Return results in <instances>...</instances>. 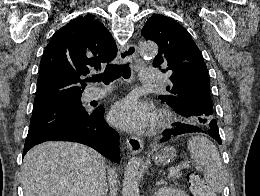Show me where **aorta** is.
<instances>
[{
    "mask_svg": "<svg viewBox=\"0 0 260 196\" xmlns=\"http://www.w3.org/2000/svg\"><path fill=\"white\" fill-rule=\"evenodd\" d=\"M139 52L145 58L155 57L158 53V47L153 42H143ZM142 166L143 161L140 158L133 157L128 161L124 172L122 196H139L138 183L141 178Z\"/></svg>",
    "mask_w": 260,
    "mask_h": 196,
    "instance_id": "1",
    "label": "aorta"
}]
</instances>
